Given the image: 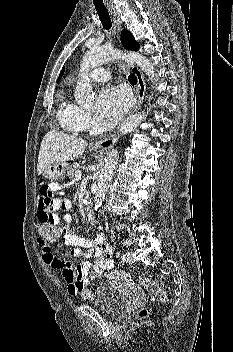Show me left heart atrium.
Returning a JSON list of instances; mask_svg holds the SVG:
<instances>
[{
  "mask_svg": "<svg viewBox=\"0 0 233 352\" xmlns=\"http://www.w3.org/2000/svg\"><path fill=\"white\" fill-rule=\"evenodd\" d=\"M130 103V97L122 87H110L101 91L96 103V117L105 126L115 125L125 114Z\"/></svg>",
  "mask_w": 233,
  "mask_h": 352,
  "instance_id": "obj_1",
  "label": "left heart atrium"
}]
</instances>
